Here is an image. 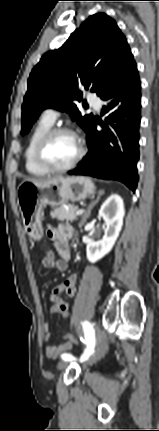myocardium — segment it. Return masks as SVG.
Listing matches in <instances>:
<instances>
[{
    "mask_svg": "<svg viewBox=\"0 0 159 431\" xmlns=\"http://www.w3.org/2000/svg\"><path fill=\"white\" fill-rule=\"evenodd\" d=\"M60 134H70L72 136L75 137V139L77 140L78 143V152L75 156V158L67 165L65 166H54L53 164H51L48 159L46 158V148L48 146V144L51 142V140ZM84 146L83 143L81 141V139L78 137V135L70 128L68 127H63V126H59V127H53L51 129H49L37 142L36 147H35V160L37 162V164L43 168L44 170H46L49 173H63V172H67L71 169H73L82 159L83 155H84Z\"/></svg>",
    "mask_w": 159,
    "mask_h": 431,
    "instance_id": "f54148a6",
    "label": "myocardium"
}]
</instances>
